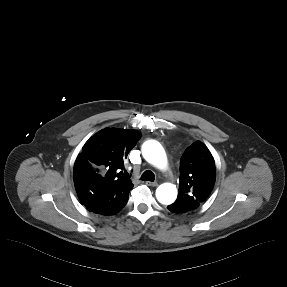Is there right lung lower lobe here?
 <instances>
[{"label":"right lung lower lobe","instance_id":"obj_1","mask_svg":"<svg viewBox=\"0 0 287 287\" xmlns=\"http://www.w3.org/2000/svg\"><path fill=\"white\" fill-rule=\"evenodd\" d=\"M132 188L122 184L102 188L95 187L90 190L82 204L90 212L113 215L126 205Z\"/></svg>","mask_w":287,"mask_h":287}]
</instances>
